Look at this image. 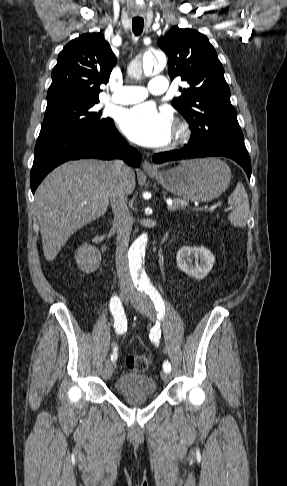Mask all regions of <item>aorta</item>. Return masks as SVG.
Masks as SVG:
<instances>
[{
	"label": "aorta",
	"mask_w": 287,
	"mask_h": 486,
	"mask_svg": "<svg viewBox=\"0 0 287 486\" xmlns=\"http://www.w3.org/2000/svg\"><path fill=\"white\" fill-rule=\"evenodd\" d=\"M165 65L166 58L164 56L158 57L157 62L154 57H150L143 64L144 74H149L153 70V67L154 71H157L162 69ZM147 241L148 234L144 232L135 239L128 251L131 272L133 276L138 279L139 284L143 286H150V281L142 268Z\"/></svg>",
	"instance_id": "1"
}]
</instances>
